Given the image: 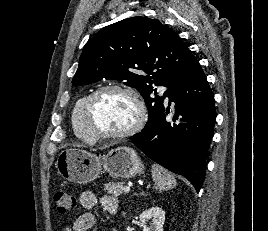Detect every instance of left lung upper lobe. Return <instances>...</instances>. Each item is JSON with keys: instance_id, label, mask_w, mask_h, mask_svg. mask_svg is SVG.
<instances>
[{"instance_id": "left-lung-upper-lobe-1", "label": "left lung upper lobe", "mask_w": 268, "mask_h": 231, "mask_svg": "<svg viewBox=\"0 0 268 231\" xmlns=\"http://www.w3.org/2000/svg\"><path fill=\"white\" fill-rule=\"evenodd\" d=\"M197 59L177 33L159 20L131 17L108 25L86 43L73 86L103 78L125 80L145 100L150 127L164 110V99L172 84L184 76ZM143 72L148 75H143ZM155 86H166L163 96L152 97Z\"/></svg>"}]
</instances>
